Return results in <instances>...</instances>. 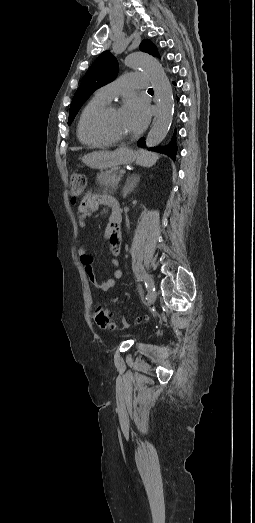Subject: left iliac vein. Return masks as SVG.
Instances as JSON below:
<instances>
[{
    "label": "left iliac vein",
    "mask_w": 255,
    "mask_h": 523,
    "mask_svg": "<svg viewBox=\"0 0 255 523\" xmlns=\"http://www.w3.org/2000/svg\"><path fill=\"white\" fill-rule=\"evenodd\" d=\"M145 279L148 283V285L154 287V281L153 279L149 276V275H145ZM156 298H157V293L156 291H152L149 296H148V299H147V306H150L152 304H154V302L156 301Z\"/></svg>",
    "instance_id": "4c4485c4"
}]
</instances>
